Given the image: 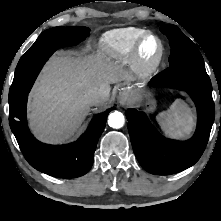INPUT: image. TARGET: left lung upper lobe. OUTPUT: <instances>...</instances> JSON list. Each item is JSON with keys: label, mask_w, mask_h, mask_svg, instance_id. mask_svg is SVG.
Segmentation results:
<instances>
[{"label": "left lung upper lobe", "mask_w": 221, "mask_h": 221, "mask_svg": "<svg viewBox=\"0 0 221 221\" xmlns=\"http://www.w3.org/2000/svg\"><path fill=\"white\" fill-rule=\"evenodd\" d=\"M160 30L168 37L171 46L169 67H187L206 72L198 48L176 25L165 26Z\"/></svg>", "instance_id": "1"}]
</instances>
